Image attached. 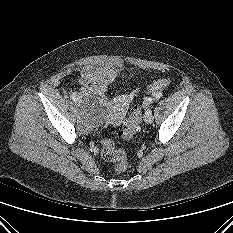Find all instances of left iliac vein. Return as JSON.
Returning <instances> with one entry per match:
<instances>
[{
	"label": "left iliac vein",
	"mask_w": 233,
	"mask_h": 233,
	"mask_svg": "<svg viewBox=\"0 0 233 233\" xmlns=\"http://www.w3.org/2000/svg\"><path fill=\"white\" fill-rule=\"evenodd\" d=\"M144 121L147 124L152 123L153 122V115H152V113H145V115H144Z\"/></svg>",
	"instance_id": "left-iliac-vein-1"
}]
</instances>
